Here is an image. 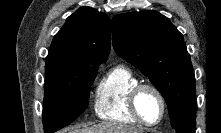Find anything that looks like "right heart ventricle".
I'll return each mask as SVG.
<instances>
[{
  "instance_id": "1",
  "label": "right heart ventricle",
  "mask_w": 221,
  "mask_h": 133,
  "mask_svg": "<svg viewBox=\"0 0 221 133\" xmlns=\"http://www.w3.org/2000/svg\"><path fill=\"white\" fill-rule=\"evenodd\" d=\"M140 83L138 76L128 67L118 65L111 68L95 90L96 115L110 122L139 123L130 112L128 99L131 90Z\"/></svg>"
}]
</instances>
